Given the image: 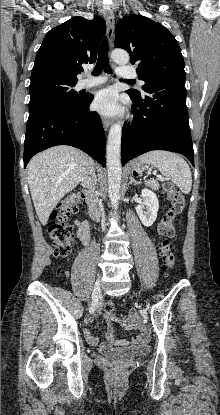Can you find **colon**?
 Masks as SVG:
<instances>
[{
    "instance_id": "obj_1",
    "label": "colon",
    "mask_w": 220,
    "mask_h": 415,
    "mask_svg": "<svg viewBox=\"0 0 220 415\" xmlns=\"http://www.w3.org/2000/svg\"><path fill=\"white\" fill-rule=\"evenodd\" d=\"M162 186L169 201V208L158 225V232L163 237L159 250L166 270L170 271L175 266V253L170 239L175 236V219L182 213L185 200L171 182L164 181ZM84 200L82 193H72L60 201L57 208L51 213L49 235L58 256L66 257L71 253L75 244L76 228L67 222V218L71 213H76L80 209ZM104 312L112 317L116 313L115 304L107 302L104 306Z\"/></svg>"
}]
</instances>
